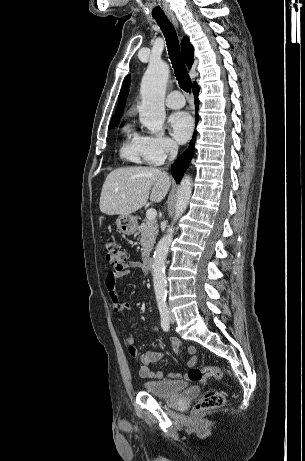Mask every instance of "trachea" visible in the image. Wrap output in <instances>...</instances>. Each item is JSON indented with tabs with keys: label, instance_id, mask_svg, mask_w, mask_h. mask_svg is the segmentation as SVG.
Instances as JSON below:
<instances>
[{
	"label": "trachea",
	"instance_id": "obj_1",
	"mask_svg": "<svg viewBox=\"0 0 305 461\" xmlns=\"http://www.w3.org/2000/svg\"><path fill=\"white\" fill-rule=\"evenodd\" d=\"M155 20L165 36L169 58L174 68V73L179 86L184 91L190 92L191 79L181 56L179 40L175 28L166 17L155 18Z\"/></svg>",
	"mask_w": 305,
	"mask_h": 461
}]
</instances>
